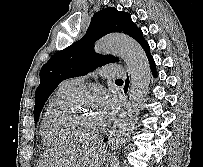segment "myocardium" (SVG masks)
I'll list each match as a JSON object with an SVG mask.
<instances>
[{
  "label": "myocardium",
  "instance_id": "myocardium-1",
  "mask_svg": "<svg viewBox=\"0 0 203 167\" xmlns=\"http://www.w3.org/2000/svg\"><path fill=\"white\" fill-rule=\"evenodd\" d=\"M87 95L88 93L85 91L76 90L52 115L49 121V129L55 136L69 143H86L93 141L100 136L103 132V128L88 136H78L70 133L65 127V121L72 111L75 103L79 100V98Z\"/></svg>",
  "mask_w": 203,
  "mask_h": 167
}]
</instances>
